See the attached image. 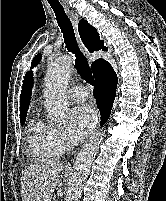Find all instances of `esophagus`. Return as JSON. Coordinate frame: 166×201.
Returning <instances> with one entry per match:
<instances>
[{
    "label": "esophagus",
    "mask_w": 166,
    "mask_h": 201,
    "mask_svg": "<svg viewBox=\"0 0 166 201\" xmlns=\"http://www.w3.org/2000/svg\"><path fill=\"white\" fill-rule=\"evenodd\" d=\"M67 11L70 14V16H72V21H73V24H74L75 35H76V39H77L78 45H79L81 51L84 53V55L89 56V52L86 49V47L83 45V43H82V41L80 39L79 33H78V29H77L78 17L75 16V15H73V13L70 10H67ZM97 131H98V127L95 129V132H97Z\"/></svg>",
    "instance_id": "obj_1"
}]
</instances>
